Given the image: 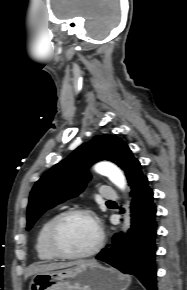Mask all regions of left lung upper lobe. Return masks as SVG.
I'll list each match as a JSON object with an SVG mask.
<instances>
[{
    "mask_svg": "<svg viewBox=\"0 0 187 290\" xmlns=\"http://www.w3.org/2000/svg\"><path fill=\"white\" fill-rule=\"evenodd\" d=\"M108 160L125 171L129 186L143 175L128 145L115 135L95 136L46 172L34 185L27 209V230L48 209L79 195L85 188L93 163Z\"/></svg>",
    "mask_w": 187,
    "mask_h": 290,
    "instance_id": "1",
    "label": "left lung upper lobe"
}]
</instances>
